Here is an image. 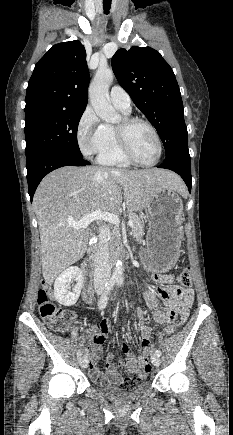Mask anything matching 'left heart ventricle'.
Returning <instances> with one entry per match:
<instances>
[{
  "mask_svg": "<svg viewBox=\"0 0 233 435\" xmlns=\"http://www.w3.org/2000/svg\"><path fill=\"white\" fill-rule=\"evenodd\" d=\"M121 121L117 124L119 125ZM129 146L135 157L143 163H151L157 157V145L150 129L135 123L127 131Z\"/></svg>",
  "mask_w": 233,
  "mask_h": 435,
  "instance_id": "left-heart-ventricle-1",
  "label": "left heart ventricle"
}]
</instances>
